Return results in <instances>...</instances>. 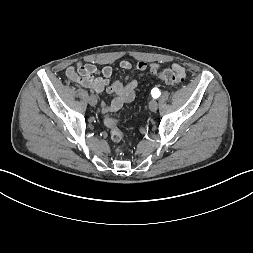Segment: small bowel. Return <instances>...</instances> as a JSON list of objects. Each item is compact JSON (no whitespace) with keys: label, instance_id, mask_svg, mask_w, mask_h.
Returning a JSON list of instances; mask_svg holds the SVG:
<instances>
[{"label":"small bowel","instance_id":"small-bowel-1","mask_svg":"<svg viewBox=\"0 0 253 253\" xmlns=\"http://www.w3.org/2000/svg\"><path fill=\"white\" fill-rule=\"evenodd\" d=\"M120 67L126 71L135 69L139 75H144L148 69L157 70L160 65L157 63L149 64L144 61L132 63L131 61L123 60L120 62ZM172 67L179 68L184 72L183 67L178 64H173ZM113 73L111 66H105L102 68L100 75H98V68L92 62L69 66L66 70V76L69 80L85 88L95 89L97 94H101L106 90L112 96L110 102L103 101L101 103V111L105 116L118 111L123 104L133 101L138 87V82L129 78L124 81H111Z\"/></svg>","mask_w":253,"mask_h":253}]
</instances>
